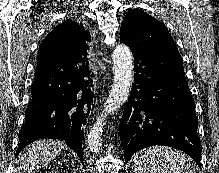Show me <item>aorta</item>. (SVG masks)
I'll return each mask as SVG.
<instances>
[{
    "label": "aorta",
    "mask_w": 219,
    "mask_h": 173,
    "mask_svg": "<svg viewBox=\"0 0 219 173\" xmlns=\"http://www.w3.org/2000/svg\"><path fill=\"white\" fill-rule=\"evenodd\" d=\"M114 82L109 93L101 118H97L89 132L86 144L90 151L99 154L101 151V135L108 115L118 110L128 99L133 84V55L128 46L118 45L112 54Z\"/></svg>",
    "instance_id": "aorta-1"
}]
</instances>
